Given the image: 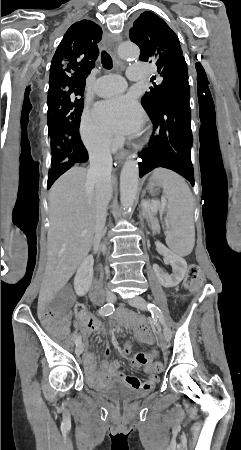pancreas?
Wrapping results in <instances>:
<instances>
[{"label": "pancreas", "mask_w": 241, "mask_h": 450, "mask_svg": "<svg viewBox=\"0 0 241 450\" xmlns=\"http://www.w3.org/2000/svg\"><path fill=\"white\" fill-rule=\"evenodd\" d=\"M147 218H149L150 222H154L156 218H154L153 214H146Z\"/></svg>", "instance_id": "cf45deb5"}]
</instances>
